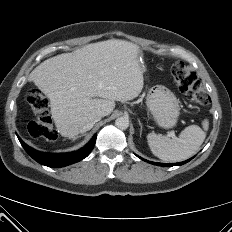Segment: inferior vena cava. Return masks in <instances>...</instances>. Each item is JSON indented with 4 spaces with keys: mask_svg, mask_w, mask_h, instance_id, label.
<instances>
[{
    "mask_svg": "<svg viewBox=\"0 0 232 232\" xmlns=\"http://www.w3.org/2000/svg\"><path fill=\"white\" fill-rule=\"evenodd\" d=\"M101 114H92L88 117L87 123L81 128V133L90 130L93 125L101 119Z\"/></svg>",
    "mask_w": 232,
    "mask_h": 232,
    "instance_id": "obj_1",
    "label": "inferior vena cava"
}]
</instances>
